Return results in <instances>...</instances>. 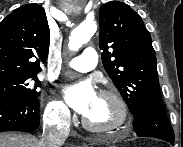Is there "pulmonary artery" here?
<instances>
[{"mask_svg": "<svg viewBox=\"0 0 183 147\" xmlns=\"http://www.w3.org/2000/svg\"><path fill=\"white\" fill-rule=\"evenodd\" d=\"M97 62L98 55L96 50L92 47H88L84 49L80 56L67 61L65 65L79 72H88L95 68Z\"/></svg>", "mask_w": 183, "mask_h": 147, "instance_id": "e3ab8cb5", "label": "pulmonary artery"}]
</instances>
